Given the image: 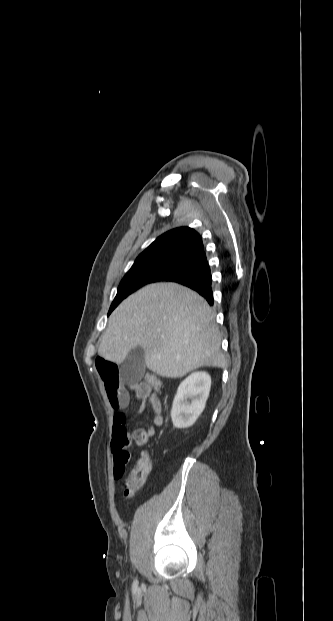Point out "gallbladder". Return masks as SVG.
<instances>
[{"mask_svg": "<svg viewBox=\"0 0 333 621\" xmlns=\"http://www.w3.org/2000/svg\"><path fill=\"white\" fill-rule=\"evenodd\" d=\"M145 372V353L141 347L132 349L122 363L120 374L122 380L132 385L139 382Z\"/></svg>", "mask_w": 333, "mask_h": 621, "instance_id": "1", "label": "gallbladder"}]
</instances>
